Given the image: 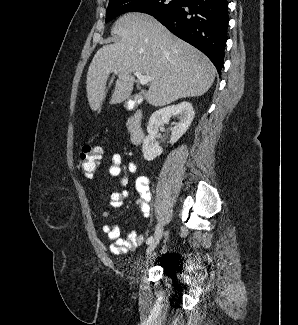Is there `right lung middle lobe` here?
<instances>
[{
	"label": "right lung middle lobe",
	"instance_id": "right-lung-middle-lobe-1",
	"mask_svg": "<svg viewBox=\"0 0 298 325\" xmlns=\"http://www.w3.org/2000/svg\"><path fill=\"white\" fill-rule=\"evenodd\" d=\"M185 0H113L109 2L105 22L125 12H143L155 16L161 12L179 8Z\"/></svg>",
	"mask_w": 298,
	"mask_h": 325
}]
</instances>
